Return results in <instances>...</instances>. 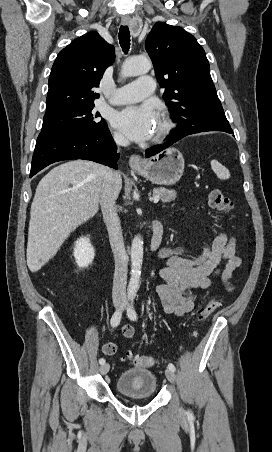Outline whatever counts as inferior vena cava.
<instances>
[{"mask_svg": "<svg viewBox=\"0 0 272 452\" xmlns=\"http://www.w3.org/2000/svg\"><path fill=\"white\" fill-rule=\"evenodd\" d=\"M114 140L119 146H128L129 141L121 134H114ZM119 173L109 169L105 174L100 195V205L103 219L107 226L109 241L114 254L115 273L113 278V300L126 298L128 255L125 250L120 219L116 211V199L119 191L116 184Z\"/></svg>", "mask_w": 272, "mask_h": 452, "instance_id": "602c4592", "label": "inferior vena cava"}]
</instances>
